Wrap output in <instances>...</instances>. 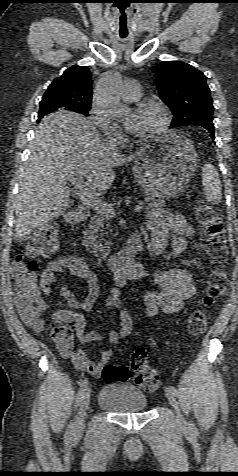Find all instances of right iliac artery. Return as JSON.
<instances>
[{
    "label": "right iliac artery",
    "mask_w": 238,
    "mask_h": 476,
    "mask_svg": "<svg viewBox=\"0 0 238 476\" xmlns=\"http://www.w3.org/2000/svg\"><path fill=\"white\" fill-rule=\"evenodd\" d=\"M87 386H88V379L86 378L85 380L82 381V383L80 385L78 395H77L76 407L80 405V403H81V401L84 397V393L87 389ZM72 431H73V423L70 422V424L68 425V428L66 430V433H65V439L66 440H70L71 435H72Z\"/></svg>",
    "instance_id": "82829eb1"
}]
</instances>
